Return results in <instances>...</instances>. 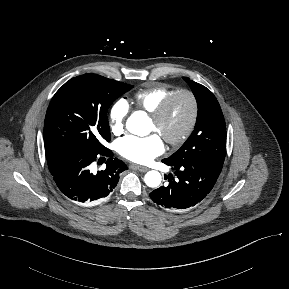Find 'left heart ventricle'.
<instances>
[{"label": "left heart ventricle", "instance_id": "1", "mask_svg": "<svg viewBox=\"0 0 289 289\" xmlns=\"http://www.w3.org/2000/svg\"><path fill=\"white\" fill-rule=\"evenodd\" d=\"M192 113L190 99L182 95L178 97L165 119L156 124L152 119L149 121V130L157 132L163 139L179 136L189 123Z\"/></svg>", "mask_w": 289, "mask_h": 289}]
</instances>
